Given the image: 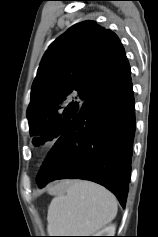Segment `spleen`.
Masks as SVG:
<instances>
[{"label": "spleen", "mask_w": 158, "mask_h": 237, "mask_svg": "<svg viewBox=\"0 0 158 237\" xmlns=\"http://www.w3.org/2000/svg\"><path fill=\"white\" fill-rule=\"evenodd\" d=\"M117 200L106 188L84 180L71 181L48 208L49 236H91L117 214Z\"/></svg>", "instance_id": "1"}]
</instances>
